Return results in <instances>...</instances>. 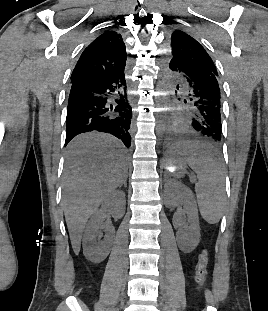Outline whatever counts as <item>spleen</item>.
I'll return each mask as SVG.
<instances>
[{
  "instance_id": "3e777b00",
  "label": "spleen",
  "mask_w": 268,
  "mask_h": 311,
  "mask_svg": "<svg viewBox=\"0 0 268 311\" xmlns=\"http://www.w3.org/2000/svg\"><path fill=\"white\" fill-rule=\"evenodd\" d=\"M188 165L197 174L195 191L201 216L210 224L218 223L225 201L223 161L215 144L207 140H186Z\"/></svg>"
}]
</instances>
